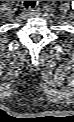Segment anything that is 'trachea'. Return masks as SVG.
Returning a JSON list of instances; mask_svg holds the SVG:
<instances>
[{
	"mask_svg": "<svg viewBox=\"0 0 74 122\" xmlns=\"http://www.w3.org/2000/svg\"><path fill=\"white\" fill-rule=\"evenodd\" d=\"M35 5H36V1H24V6L26 8H28V7L34 8Z\"/></svg>",
	"mask_w": 74,
	"mask_h": 122,
	"instance_id": "1",
	"label": "trachea"
}]
</instances>
